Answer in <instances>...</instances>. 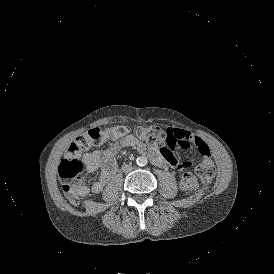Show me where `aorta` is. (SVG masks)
<instances>
[{"label": "aorta", "mask_w": 274, "mask_h": 274, "mask_svg": "<svg viewBox=\"0 0 274 274\" xmlns=\"http://www.w3.org/2000/svg\"><path fill=\"white\" fill-rule=\"evenodd\" d=\"M136 162L139 166H145L148 163V159L145 156H140L137 158Z\"/></svg>", "instance_id": "762f6f07"}]
</instances>
